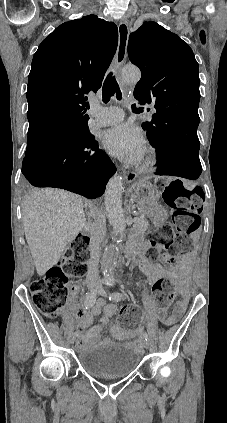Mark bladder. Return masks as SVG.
Here are the masks:
<instances>
[{"label": "bladder", "instance_id": "obj_1", "mask_svg": "<svg viewBox=\"0 0 227 423\" xmlns=\"http://www.w3.org/2000/svg\"><path fill=\"white\" fill-rule=\"evenodd\" d=\"M142 351L127 343H111L79 354L78 365L92 377L105 380L128 378L139 367Z\"/></svg>", "mask_w": 227, "mask_h": 423}]
</instances>
